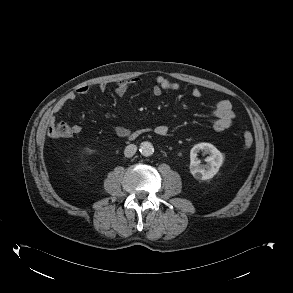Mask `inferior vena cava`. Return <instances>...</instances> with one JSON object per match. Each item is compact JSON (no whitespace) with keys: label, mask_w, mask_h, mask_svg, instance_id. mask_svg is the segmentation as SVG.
<instances>
[{"label":"inferior vena cava","mask_w":293,"mask_h":293,"mask_svg":"<svg viewBox=\"0 0 293 293\" xmlns=\"http://www.w3.org/2000/svg\"><path fill=\"white\" fill-rule=\"evenodd\" d=\"M137 151V146L134 144H130L128 146H126L125 150H124V155L126 157H132Z\"/></svg>","instance_id":"inferior-vena-cava-1"}]
</instances>
